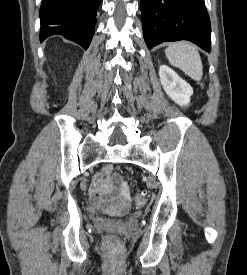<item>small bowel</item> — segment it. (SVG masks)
I'll use <instances>...</instances> for the list:
<instances>
[{"label": "small bowel", "instance_id": "obj_1", "mask_svg": "<svg viewBox=\"0 0 247 275\" xmlns=\"http://www.w3.org/2000/svg\"><path fill=\"white\" fill-rule=\"evenodd\" d=\"M111 166H106L101 184L92 183L89 194L93 203L103 209L127 210L131 204L128 188L118 175L110 176Z\"/></svg>", "mask_w": 247, "mask_h": 275}]
</instances>
